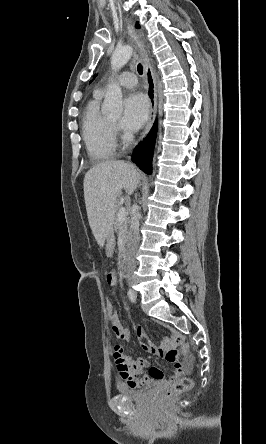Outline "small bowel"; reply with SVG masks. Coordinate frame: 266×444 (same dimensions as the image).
<instances>
[{
	"label": "small bowel",
	"mask_w": 266,
	"mask_h": 444,
	"mask_svg": "<svg viewBox=\"0 0 266 444\" xmlns=\"http://www.w3.org/2000/svg\"><path fill=\"white\" fill-rule=\"evenodd\" d=\"M107 282L114 285L117 282V274L111 271L107 275ZM112 330L117 339L129 340L131 332L124 327L119 315L110 319ZM137 337L141 341L143 350L165 358L168 362L173 364V372L169 379H166L164 373L157 367L149 368L148 361L143 357L131 359L125 355L121 346H116L114 349V357L117 363V368L121 378L125 382V386L129 388H139L152 383L162 382L168 385L177 380L181 375L189 373L192 368V360L189 356L183 355L182 360L179 361L180 353L176 350L180 342V337L175 335L171 338H166L159 345H155L150 341H146L147 336L143 329L137 330Z\"/></svg>",
	"instance_id": "1"
}]
</instances>
